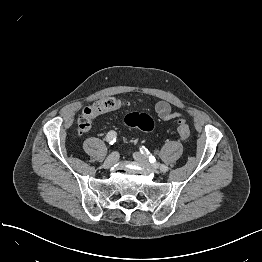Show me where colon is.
<instances>
[{"label": "colon", "instance_id": "obj_1", "mask_svg": "<svg viewBox=\"0 0 262 262\" xmlns=\"http://www.w3.org/2000/svg\"><path fill=\"white\" fill-rule=\"evenodd\" d=\"M109 106L112 108H117L121 106V103L118 101L112 100L109 103ZM98 111H101V108H97ZM91 124V121L87 117L80 118L79 127L81 130H85ZM124 124L129 128L139 129L144 132H151L154 129L153 119L146 113H130L125 116ZM177 132L182 141H187L191 136V130L186 120L180 119L178 121Z\"/></svg>", "mask_w": 262, "mask_h": 262}]
</instances>
